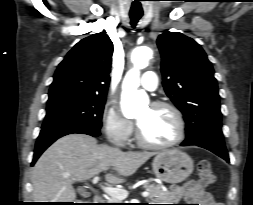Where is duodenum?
<instances>
[{
    "mask_svg": "<svg viewBox=\"0 0 253 205\" xmlns=\"http://www.w3.org/2000/svg\"><path fill=\"white\" fill-rule=\"evenodd\" d=\"M93 201H94L95 203H97V204H100V203L103 201V198H102L101 195L96 194V195H94V197H93Z\"/></svg>",
    "mask_w": 253,
    "mask_h": 205,
    "instance_id": "duodenum-1",
    "label": "duodenum"
}]
</instances>
